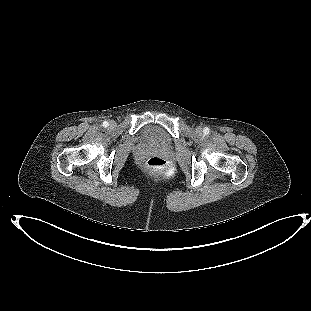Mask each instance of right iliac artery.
I'll return each instance as SVG.
<instances>
[{
	"mask_svg": "<svg viewBox=\"0 0 311 311\" xmlns=\"http://www.w3.org/2000/svg\"><path fill=\"white\" fill-rule=\"evenodd\" d=\"M109 124H108V122L107 121H104L103 122V127H107Z\"/></svg>",
	"mask_w": 311,
	"mask_h": 311,
	"instance_id": "1",
	"label": "right iliac artery"
}]
</instances>
